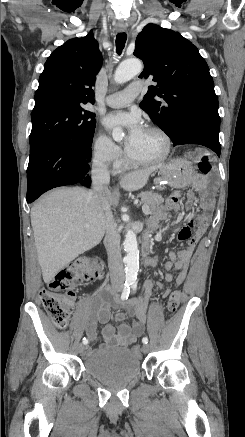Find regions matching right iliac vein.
Listing matches in <instances>:
<instances>
[{"label":"right iliac vein","mask_w":245,"mask_h":437,"mask_svg":"<svg viewBox=\"0 0 245 437\" xmlns=\"http://www.w3.org/2000/svg\"><path fill=\"white\" fill-rule=\"evenodd\" d=\"M78 350H79L80 353H82V352L85 350V345L80 344V345L78 346Z\"/></svg>","instance_id":"1"}]
</instances>
